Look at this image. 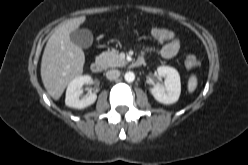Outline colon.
Instances as JSON below:
<instances>
[{
    "mask_svg": "<svg viewBox=\"0 0 248 165\" xmlns=\"http://www.w3.org/2000/svg\"><path fill=\"white\" fill-rule=\"evenodd\" d=\"M153 38L158 41H166L174 38V33L167 29L155 28L151 32ZM185 67L187 69H194L199 65V60L194 55H188L185 58Z\"/></svg>",
    "mask_w": 248,
    "mask_h": 165,
    "instance_id": "colon-1",
    "label": "colon"
}]
</instances>
